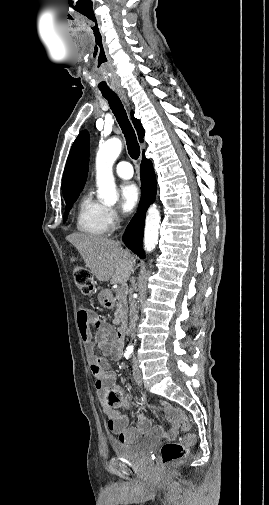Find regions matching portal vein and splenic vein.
I'll use <instances>...</instances> for the list:
<instances>
[{"label": "portal vein and splenic vein", "instance_id": "obj_1", "mask_svg": "<svg viewBox=\"0 0 269 505\" xmlns=\"http://www.w3.org/2000/svg\"><path fill=\"white\" fill-rule=\"evenodd\" d=\"M117 291L121 293L123 291V288H118Z\"/></svg>", "mask_w": 269, "mask_h": 505}]
</instances>
